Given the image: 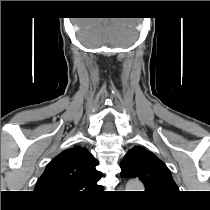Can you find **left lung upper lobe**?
<instances>
[{
  "label": "left lung upper lobe",
  "mask_w": 210,
  "mask_h": 210,
  "mask_svg": "<svg viewBox=\"0 0 210 210\" xmlns=\"http://www.w3.org/2000/svg\"><path fill=\"white\" fill-rule=\"evenodd\" d=\"M121 175L138 177L145 185V191L166 196L178 192L170 170L152 152L135 146L127 152L120 164Z\"/></svg>",
  "instance_id": "5c2ea615"
}]
</instances>
